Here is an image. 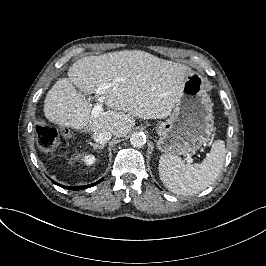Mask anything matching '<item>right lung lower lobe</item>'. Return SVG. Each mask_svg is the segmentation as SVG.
I'll return each mask as SVG.
<instances>
[{
  "instance_id": "obj_1",
  "label": "right lung lower lobe",
  "mask_w": 266,
  "mask_h": 266,
  "mask_svg": "<svg viewBox=\"0 0 266 266\" xmlns=\"http://www.w3.org/2000/svg\"><path fill=\"white\" fill-rule=\"evenodd\" d=\"M102 179H103V178H102ZM102 179H100V180L97 181L96 183H93V184H90V185H86V186H79V187H68V186L60 185V184H58V183H56V182H54V181H52V182L55 183L56 185H59V186L63 187V188H67V189H71V190H83V189H86V188H88V187H92V186H94V185L100 183V182L102 181Z\"/></svg>"
}]
</instances>
